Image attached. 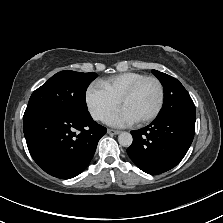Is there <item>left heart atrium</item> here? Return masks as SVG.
<instances>
[{"mask_svg":"<svg viewBox=\"0 0 223 223\" xmlns=\"http://www.w3.org/2000/svg\"><path fill=\"white\" fill-rule=\"evenodd\" d=\"M135 119L124 109H117L111 116L108 117L107 122L113 126L122 127L131 124Z\"/></svg>","mask_w":223,"mask_h":223,"instance_id":"1","label":"left heart atrium"}]
</instances>
